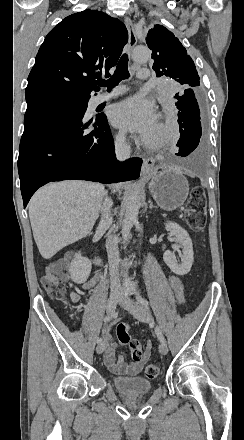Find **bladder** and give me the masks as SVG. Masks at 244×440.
<instances>
[{"label":"bladder","mask_w":244,"mask_h":440,"mask_svg":"<svg viewBox=\"0 0 244 440\" xmlns=\"http://www.w3.org/2000/svg\"><path fill=\"white\" fill-rule=\"evenodd\" d=\"M112 383L124 395L148 394L152 389L151 381L145 377H113Z\"/></svg>","instance_id":"obj_1"}]
</instances>
